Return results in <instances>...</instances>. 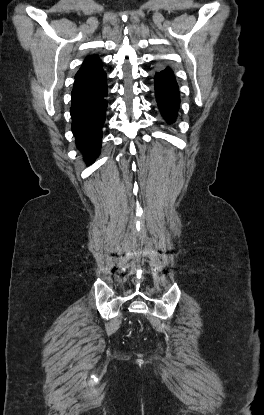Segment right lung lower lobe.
Listing matches in <instances>:
<instances>
[{
	"label": "right lung lower lobe",
	"instance_id": "obj_1",
	"mask_svg": "<svg viewBox=\"0 0 264 415\" xmlns=\"http://www.w3.org/2000/svg\"><path fill=\"white\" fill-rule=\"evenodd\" d=\"M107 90L106 73L102 71L76 78L71 94L72 131L78 149L89 164L100 153Z\"/></svg>",
	"mask_w": 264,
	"mask_h": 415
}]
</instances>
